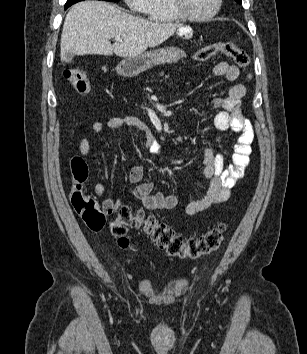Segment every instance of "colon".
I'll return each instance as SVG.
<instances>
[{
	"instance_id": "5ec220e1",
	"label": "colon",
	"mask_w": 307,
	"mask_h": 354,
	"mask_svg": "<svg viewBox=\"0 0 307 354\" xmlns=\"http://www.w3.org/2000/svg\"><path fill=\"white\" fill-rule=\"evenodd\" d=\"M217 54L231 58L241 68H246L250 63L248 53L239 48L235 42L229 40L211 43L195 52L193 57L197 61H206ZM64 77L79 92H86L89 78L84 69H66ZM70 169L74 182L70 194L73 208L90 229L95 231L103 229L106 224V215L111 212L103 205L101 206L93 196L83 191L82 185L88 178V168L85 161L80 157H73ZM114 212H116V217L110 221L109 230L118 246L121 248L130 247L127 231L130 227L135 226L148 234L152 241L167 255L181 259H197L216 251L224 239L226 230L224 224H219L198 237L183 239L169 226L158 222L152 215H146L142 210L133 211L128 206L121 205Z\"/></svg>"
}]
</instances>
